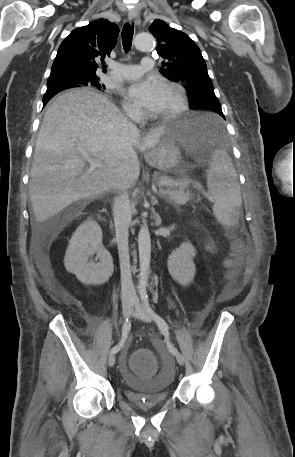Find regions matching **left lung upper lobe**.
I'll return each instance as SVG.
<instances>
[{"label": "left lung upper lobe", "mask_w": 295, "mask_h": 457, "mask_svg": "<svg viewBox=\"0 0 295 457\" xmlns=\"http://www.w3.org/2000/svg\"><path fill=\"white\" fill-rule=\"evenodd\" d=\"M149 31L157 39V53L164 58L161 74L184 86L193 109L201 102L220 103L199 47L185 33L155 20Z\"/></svg>", "instance_id": "5c2ea615"}]
</instances>
